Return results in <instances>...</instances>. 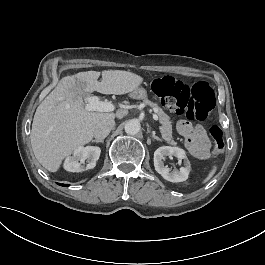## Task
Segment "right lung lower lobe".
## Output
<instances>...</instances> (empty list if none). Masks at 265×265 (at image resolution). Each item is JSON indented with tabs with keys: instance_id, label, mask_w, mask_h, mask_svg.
Instances as JSON below:
<instances>
[{
	"instance_id": "right-lung-lower-lobe-1",
	"label": "right lung lower lobe",
	"mask_w": 265,
	"mask_h": 265,
	"mask_svg": "<svg viewBox=\"0 0 265 265\" xmlns=\"http://www.w3.org/2000/svg\"><path fill=\"white\" fill-rule=\"evenodd\" d=\"M60 185V184H59ZM62 186H69L68 184H62Z\"/></svg>"
}]
</instances>
